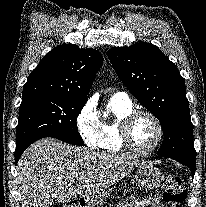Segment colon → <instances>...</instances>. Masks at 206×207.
I'll use <instances>...</instances> for the list:
<instances>
[{
    "label": "colon",
    "instance_id": "5ec220e1",
    "mask_svg": "<svg viewBox=\"0 0 206 207\" xmlns=\"http://www.w3.org/2000/svg\"><path fill=\"white\" fill-rule=\"evenodd\" d=\"M163 201L168 207H182L186 199V190L179 176H170L162 186ZM61 207H76L73 204H64Z\"/></svg>",
    "mask_w": 206,
    "mask_h": 207
}]
</instances>
